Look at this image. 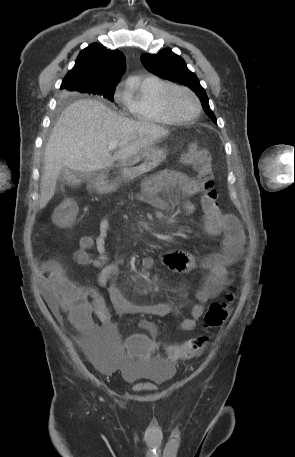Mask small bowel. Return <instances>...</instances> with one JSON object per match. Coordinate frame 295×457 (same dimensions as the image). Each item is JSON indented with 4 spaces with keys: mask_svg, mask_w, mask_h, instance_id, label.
I'll return each mask as SVG.
<instances>
[{
    "mask_svg": "<svg viewBox=\"0 0 295 457\" xmlns=\"http://www.w3.org/2000/svg\"><path fill=\"white\" fill-rule=\"evenodd\" d=\"M170 190L181 192L187 199L186 211L193 212L194 205L189 199L199 192V185L194 178L180 171L166 170L149 178L145 181L136 199L158 210H167L170 205L160 197V193ZM202 210L206 231L213 236H222L221 252L206 255L201 261V267L207 271V277L204 286L196 294L197 303L191 308L190 317L181 322V329L184 331L193 330L205 312V303L218 297L222 290L229 286L227 268L239 259L245 241L243 228L235 216L222 213L219 208H214L205 202H202ZM109 234L110 218L105 217L99 225V232L96 237L82 236L80 238L79 248L73 255L75 262L82 266H93L101 269L98 284L107 289L110 302L118 313L155 317L169 315L173 311V305L169 302L140 305L128 301L123 296L117 284L120 269L116 264H108L106 240ZM93 248H96L98 252L96 258H92L90 255V250ZM161 259L168 268L177 272H189L197 267L195 258L183 251H169L163 254ZM142 263L144 267L151 268L154 265V259L145 257ZM42 282L46 290L47 302L53 313L59 317L60 305L53 292V279L43 273ZM81 289L83 295L82 310L77 320L70 319L78 332V338H115V326L102 295L95 288ZM93 314L99 319L100 325L93 321ZM140 326L149 330L151 336L156 335V326L150 320L142 319ZM150 341L156 342V351L160 346L159 343L152 337ZM171 347L173 346L166 347V351ZM167 361L172 364L176 360Z\"/></svg>",
    "mask_w": 295,
    "mask_h": 457,
    "instance_id": "1",
    "label": "small bowel"
}]
</instances>
